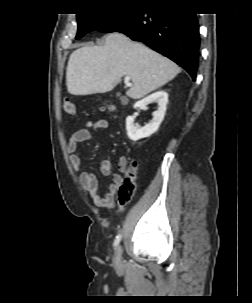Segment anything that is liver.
I'll use <instances>...</instances> for the list:
<instances>
[{
  "mask_svg": "<svg viewBox=\"0 0 252 303\" xmlns=\"http://www.w3.org/2000/svg\"><path fill=\"white\" fill-rule=\"evenodd\" d=\"M180 71L170 59L115 32L106 35L102 45H86L70 55L66 85L72 95L106 93L125 76L133 83L126 95L140 99Z\"/></svg>",
  "mask_w": 252,
  "mask_h": 303,
  "instance_id": "obj_1",
  "label": "liver"
}]
</instances>
